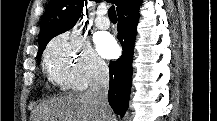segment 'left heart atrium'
Segmentation results:
<instances>
[{"instance_id":"39dd6f15","label":"left heart atrium","mask_w":217,"mask_h":121,"mask_svg":"<svg viewBox=\"0 0 217 121\" xmlns=\"http://www.w3.org/2000/svg\"><path fill=\"white\" fill-rule=\"evenodd\" d=\"M98 50L103 56L111 58L118 53V45L111 36L107 35L100 39Z\"/></svg>"}]
</instances>
